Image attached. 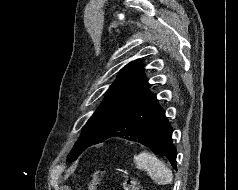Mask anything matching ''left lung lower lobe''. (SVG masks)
<instances>
[{"label":"left lung lower lobe","instance_id":"0a47b994","mask_svg":"<svg viewBox=\"0 0 238 190\" xmlns=\"http://www.w3.org/2000/svg\"><path fill=\"white\" fill-rule=\"evenodd\" d=\"M172 132L156 95L147 90L122 113L103 141L118 136L141 143L153 152L167 157L176 169L177 151L172 143Z\"/></svg>","mask_w":238,"mask_h":190}]
</instances>
